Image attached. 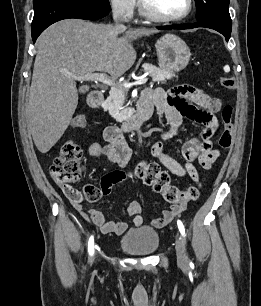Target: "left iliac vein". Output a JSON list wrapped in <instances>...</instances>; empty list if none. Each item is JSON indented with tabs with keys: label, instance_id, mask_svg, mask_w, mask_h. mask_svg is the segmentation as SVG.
I'll return each instance as SVG.
<instances>
[{
	"label": "left iliac vein",
	"instance_id": "obj_1",
	"mask_svg": "<svg viewBox=\"0 0 261 306\" xmlns=\"http://www.w3.org/2000/svg\"><path fill=\"white\" fill-rule=\"evenodd\" d=\"M175 248H176V255H177V262L178 265L181 267H186L188 264L187 257L184 252V243L180 236L176 238L175 242Z\"/></svg>",
	"mask_w": 261,
	"mask_h": 306
}]
</instances>
